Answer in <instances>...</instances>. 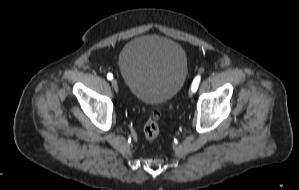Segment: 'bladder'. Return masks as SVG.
Wrapping results in <instances>:
<instances>
[{"mask_svg": "<svg viewBox=\"0 0 299 190\" xmlns=\"http://www.w3.org/2000/svg\"><path fill=\"white\" fill-rule=\"evenodd\" d=\"M119 70L131 93L147 104L171 100L183 87L188 61L183 47L167 38L143 35L122 49Z\"/></svg>", "mask_w": 299, "mask_h": 190, "instance_id": "1", "label": "bladder"}]
</instances>
